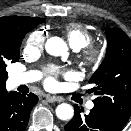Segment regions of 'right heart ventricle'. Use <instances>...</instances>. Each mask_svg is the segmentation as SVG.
<instances>
[{
    "label": "right heart ventricle",
    "instance_id": "right-heart-ventricle-1",
    "mask_svg": "<svg viewBox=\"0 0 131 131\" xmlns=\"http://www.w3.org/2000/svg\"><path fill=\"white\" fill-rule=\"evenodd\" d=\"M64 34L70 45L76 50L90 45L94 40L93 33L87 27L76 22L68 23L64 28Z\"/></svg>",
    "mask_w": 131,
    "mask_h": 131
}]
</instances>
